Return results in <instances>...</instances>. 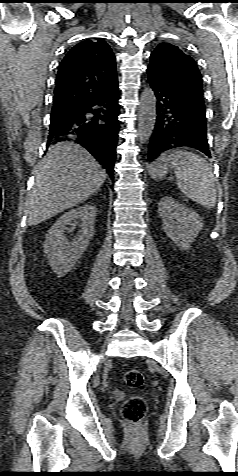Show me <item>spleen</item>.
<instances>
[{
	"label": "spleen",
	"mask_w": 238,
	"mask_h": 476,
	"mask_svg": "<svg viewBox=\"0 0 238 476\" xmlns=\"http://www.w3.org/2000/svg\"><path fill=\"white\" fill-rule=\"evenodd\" d=\"M179 190L192 201L210 209L216 204L215 178L208 162L189 151L169 155Z\"/></svg>",
	"instance_id": "1"
}]
</instances>
